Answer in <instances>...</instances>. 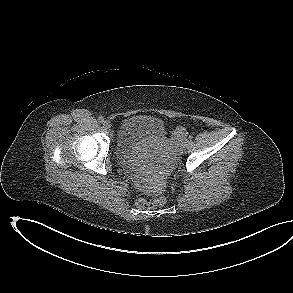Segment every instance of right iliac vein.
Returning a JSON list of instances; mask_svg holds the SVG:
<instances>
[{
    "label": "right iliac vein",
    "instance_id": "1",
    "mask_svg": "<svg viewBox=\"0 0 293 293\" xmlns=\"http://www.w3.org/2000/svg\"><path fill=\"white\" fill-rule=\"evenodd\" d=\"M103 126H104V128H105L106 130H111V124H110L109 122L105 121V122L103 123Z\"/></svg>",
    "mask_w": 293,
    "mask_h": 293
}]
</instances>
